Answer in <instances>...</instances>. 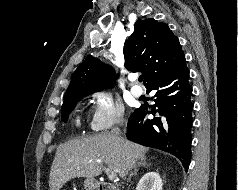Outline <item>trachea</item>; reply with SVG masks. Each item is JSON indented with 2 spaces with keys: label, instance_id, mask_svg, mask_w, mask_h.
<instances>
[{
  "label": "trachea",
  "instance_id": "3493384b",
  "mask_svg": "<svg viewBox=\"0 0 238 190\" xmlns=\"http://www.w3.org/2000/svg\"><path fill=\"white\" fill-rule=\"evenodd\" d=\"M139 81H140V82L143 81V77H142V76L139 77Z\"/></svg>",
  "mask_w": 238,
  "mask_h": 190
}]
</instances>
